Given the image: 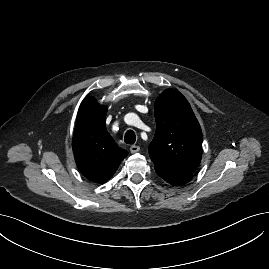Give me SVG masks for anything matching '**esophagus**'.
Masks as SVG:
<instances>
[{"mask_svg":"<svg viewBox=\"0 0 269 269\" xmlns=\"http://www.w3.org/2000/svg\"><path fill=\"white\" fill-rule=\"evenodd\" d=\"M139 150H140V147L137 146V145H132V146L130 147V152H131V153H137Z\"/></svg>","mask_w":269,"mask_h":269,"instance_id":"esophagus-1","label":"esophagus"}]
</instances>
